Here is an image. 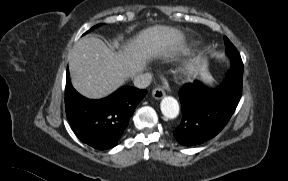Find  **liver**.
I'll return each mask as SVG.
<instances>
[{
  "label": "liver",
  "instance_id": "6515ba94",
  "mask_svg": "<svg viewBox=\"0 0 288 181\" xmlns=\"http://www.w3.org/2000/svg\"><path fill=\"white\" fill-rule=\"evenodd\" d=\"M177 52H186L184 34L165 25L144 29L118 53L99 38L83 37L68 55L72 84L83 96L99 99L142 72L148 61Z\"/></svg>",
  "mask_w": 288,
  "mask_h": 181
}]
</instances>
